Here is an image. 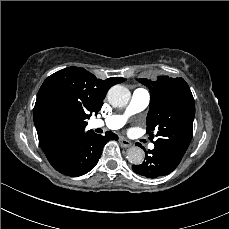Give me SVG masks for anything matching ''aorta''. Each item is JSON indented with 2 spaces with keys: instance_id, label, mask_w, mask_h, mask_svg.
I'll return each mask as SVG.
<instances>
[{
  "instance_id": "aorta-1",
  "label": "aorta",
  "mask_w": 229,
  "mask_h": 229,
  "mask_svg": "<svg viewBox=\"0 0 229 229\" xmlns=\"http://www.w3.org/2000/svg\"><path fill=\"white\" fill-rule=\"evenodd\" d=\"M130 98V91L119 84L112 86L107 93L108 102L116 108L125 107ZM144 156L143 149L138 146H132L127 150V159L133 165L142 164Z\"/></svg>"
}]
</instances>
